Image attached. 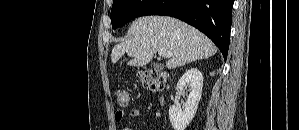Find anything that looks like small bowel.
I'll list each match as a JSON object with an SVG mask.
<instances>
[{"instance_id":"1","label":"small bowel","mask_w":299,"mask_h":130,"mask_svg":"<svg viewBox=\"0 0 299 130\" xmlns=\"http://www.w3.org/2000/svg\"><path fill=\"white\" fill-rule=\"evenodd\" d=\"M129 114L133 117H139L140 116L139 111L136 110V109L130 110ZM124 115H125L124 110H117L115 112V121L120 122L123 119ZM121 130H133V128H131L130 126H124Z\"/></svg>"}]
</instances>
